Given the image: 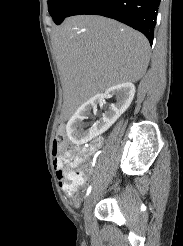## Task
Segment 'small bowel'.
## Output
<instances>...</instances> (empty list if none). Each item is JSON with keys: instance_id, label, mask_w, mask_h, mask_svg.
<instances>
[{"instance_id": "c3829d8e", "label": "small bowel", "mask_w": 183, "mask_h": 246, "mask_svg": "<svg viewBox=\"0 0 183 246\" xmlns=\"http://www.w3.org/2000/svg\"><path fill=\"white\" fill-rule=\"evenodd\" d=\"M101 139L98 138L94 141V144L90 147H83L79 149L78 153H75V150L70 148L68 149L61 157H58L54 161V166L56 170V175L59 180V185L62 190L69 194L73 195L72 191L69 188L68 182V173H70V169L79 166V164L86 158V156L90 153L95 151L96 147L100 144ZM67 165V167H65ZM84 183V177L82 178L81 185ZM114 184L113 180L109 181V184H104V189H111V185Z\"/></svg>"}]
</instances>
